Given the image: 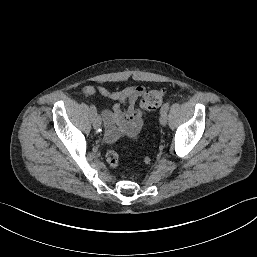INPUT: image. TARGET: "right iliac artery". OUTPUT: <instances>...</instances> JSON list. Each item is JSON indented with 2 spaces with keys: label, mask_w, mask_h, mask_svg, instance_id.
<instances>
[{
  "label": "right iliac artery",
  "mask_w": 257,
  "mask_h": 257,
  "mask_svg": "<svg viewBox=\"0 0 257 257\" xmlns=\"http://www.w3.org/2000/svg\"><path fill=\"white\" fill-rule=\"evenodd\" d=\"M90 115L92 119H94L97 116V109L93 104L90 105Z\"/></svg>",
  "instance_id": "82829eb1"
}]
</instances>
